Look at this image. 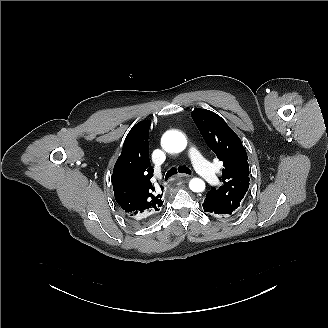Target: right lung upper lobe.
I'll list each match as a JSON object with an SVG mask.
<instances>
[{
  "instance_id": "1",
  "label": "right lung upper lobe",
  "mask_w": 328,
  "mask_h": 328,
  "mask_svg": "<svg viewBox=\"0 0 328 328\" xmlns=\"http://www.w3.org/2000/svg\"><path fill=\"white\" fill-rule=\"evenodd\" d=\"M150 125L147 120L132 127L111 178L117 203L125 215L139 224L156 219L163 209L162 193L150 181L154 172L148 150Z\"/></svg>"
}]
</instances>
